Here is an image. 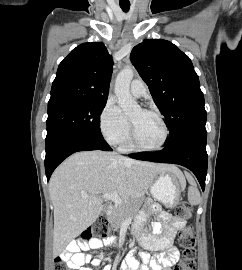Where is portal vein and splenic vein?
Masks as SVG:
<instances>
[{"label":"portal vein and splenic vein","mask_w":242,"mask_h":270,"mask_svg":"<svg viewBox=\"0 0 242 270\" xmlns=\"http://www.w3.org/2000/svg\"><path fill=\"white\" fill-rule=\"evenodd\" d=\"M83 197L88 198V195H83ZM102 198L112 200L117 205L123 204L122 199L119 197V195L116 191H114L112 193H105L102 195Z\"/></svg>","instance_id":"18ae733b"}]
</instances>
